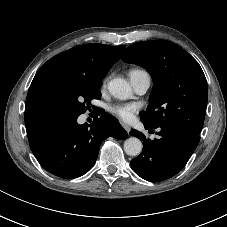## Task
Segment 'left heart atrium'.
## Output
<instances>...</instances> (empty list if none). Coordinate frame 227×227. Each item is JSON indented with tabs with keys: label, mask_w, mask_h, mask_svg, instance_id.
<instances>
[{
	"label": "left heart atrium",
	"mask_w": 227,
	"mask_h": 227,
	"mask_svg": "<svg viewBox=\"0 0 227 227\" xmlns=\"http://www.w3.org/2000/svg\"><path fill=\"white\" fill-rule=\"evenodd\" d=\"M138 109L139 106L135 103H119L110 106V112L124 121H130Z\"/></svg>",
	"instance_id": "left-heart-atrium-1"
}]
</instances>
